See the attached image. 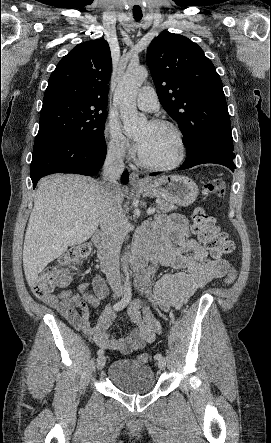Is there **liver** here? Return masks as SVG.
Returning <instances> with one entry per match:
<instances>
[{"label": "liver", "instance_id": "6515ba94", "mask_svg": "<svg viewBox=\"0 0 271 443\" xmlns=\"http://www.w3.org/2000/svg\"><path fill=\"white\" fill-rule=\"evenodd\" d=\"M87 176H47L38 182L23 245V267L30 287L44 267L68 245L87 241L107 214V204ZM124 194L119 190L118 204ZM121 216L125 218L123 212Z\"/></svg>", "mask_w": 271, "mask_h": 443}]
</instances>
